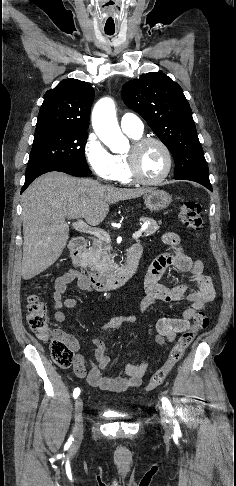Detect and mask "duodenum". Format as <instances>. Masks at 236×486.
<instances>
[{"mask_svg": "<svg viewBox=\"0 0 236 486\" xmlns=\"http://www.w3.org/2000/svg\"><path fill=\"white\" fill-rule=\"evenodd\" d=\"M87 241L83 237H75L70 241L69 250L73 267L81 272L86 283L96 291H109L123 286L135 273L142 253L138 244L130 246L127 250L126 262L112 273L89 271L83 265V253Z\"/></svg>", "mask_w": 236, "mask_h": 486, "instance_id": "obj_1", "label": "duodenum"}]
</instances>
